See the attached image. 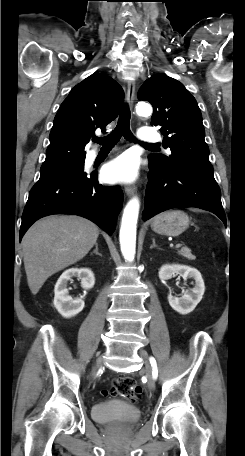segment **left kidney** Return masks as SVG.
I'll use <instances>...</instances> for the list:
<instances>
[{"label": "left kidney", "instance_id": "obj_1", "mask_svg": "<svg viewBox=\"0 0 245 456\" xmlns=\"http://www.w3.org/2000/svg\"><path fill=\"white\" fill-rule=\"evenodd\" d=\"M174 274L181 275L184 280L187 278L195 280V287L190 291L187 290L181 298L174 297L171 293L168 295L170 306L178 313L185 315L192 312L201 301L205 291L204 281L197 269L186 265H163L159 270L161 280H168Z\"/></svg>", "mask_w": 245, "mask_h": 456}]
</instances>
